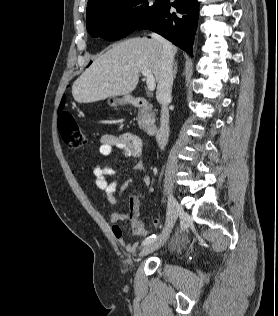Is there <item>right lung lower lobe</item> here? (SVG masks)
Here are the masks:
<instances>
[{"label": "right lung lower lobe", "mask_w": 278, "mask_h": 316, "mask_svg": "<svg viewBox=\"0 0 278 316\" xmlns=\"http://www.w3.org/2000/svg\"><path fill=\"white\" fill-rule=\"evenodd\" d=\"M171 6L177 13L170 12ZM198 6L196 0H175L171 4L160 1L151 17L138 29H150L192 55Z\"/></svg>", "instance_id": "obj_1"}]
</instances>
